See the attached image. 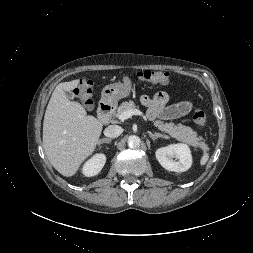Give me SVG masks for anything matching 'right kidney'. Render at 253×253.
<instances>
[{"label": "right kidney", "instance_id": "right-kidney-1", "mask_svg": "<svg viewBox=\"0 0 253 253\" xmlns=\"http://www.w3.org/2000/svg\"><path fill=\"white\" fill-rule=\"evenodd\" d=\"M106 162V156L102 153L94 155L82 168V173L87 177L97 175Z\"/></svg>", "mask_w": 253, "mask_h": 253}]
</instances>
